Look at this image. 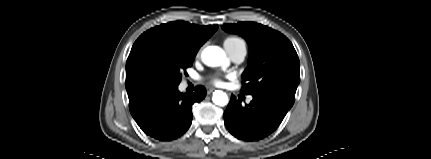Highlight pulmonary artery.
<instances>
[{
  "label": "pulmonary artery",
  "mask_w": 431,
  "mask_h": 159,
  "mask_svg": "<svg viewBox=\"0 0 431 159\" xmlns=\"http://www.w3.org/2000/svg\"><path fill=\"white\" fill-rule=\"evenodd\" d=\"M230 58L234 62H242L246 56L247 50L244 42L238 43L232 47H225Z\"/></svg>",
  "instance_id": "pulmonary-artery-1"
}]
</instances>
